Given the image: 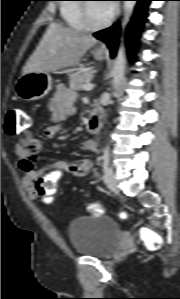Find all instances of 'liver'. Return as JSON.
Returning a JSON list of instances; mask_svg holds the SVG:
<instances>
[{
  "mask_svg": "<svg viewBox=\"0 0 180 299\" xmlns=\"http://www.w3.org/2000/svg\"><path fill=\"white\" fill-rule=\"evenodd\" d=\"M97 40L89 34L51 23L26 62L22 74L51 72L76 65Z\"/></svg>",
  "mask_w": 180,
  "mask_h": 299,
  "instance_id": "6515ba94",
  "label": "liver"
}]
</instances>
